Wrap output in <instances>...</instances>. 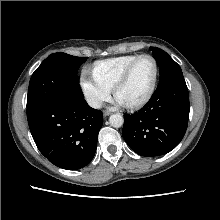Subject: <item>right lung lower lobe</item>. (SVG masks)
<instances>
[{
    "mask_svg": "<svg viewBox=\"0 0 220 220\" xmlns=\"http://www.w3.org/2000/svg\"><path fill=\"white\" fill-rule=\"evenodd\" d=\"M27 119L39 151L54 165L76 170L93 159L102 111L91 108L84 99L37 104L27 108Z\"/></svg>",
    "mask_w": 220,
    "mask_h": 220,
    "instance_id": "right-lung-lower-lobe-1",
    "label": "right lung lower lobe"
}]
</instances>
